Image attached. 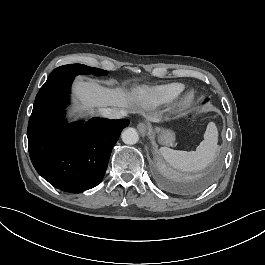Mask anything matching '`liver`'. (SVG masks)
<instances>
[{"instance_id": "obj_1", "label": "liver", "mask_w": 265, "mask_h": 265, "mask_svg": "<svg viewBox=\"0 0 265 265\" xmlns=\"http://www.w3.org/2000/svg\"><path fill=\"white\" fill-rule=\"evenodd\" d=\"M75 92L76 97L81 100L82 104L87 106H126V99L120 90H105L94 81L88 83L83 80L79 81Z\"/></svg>"}]
</instances>
